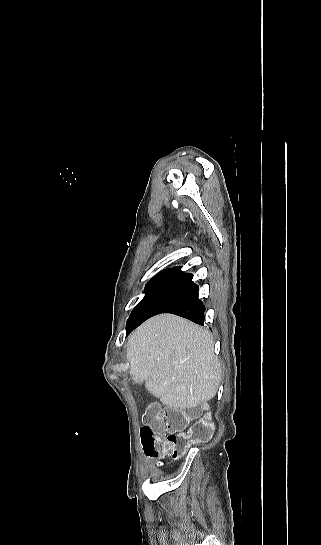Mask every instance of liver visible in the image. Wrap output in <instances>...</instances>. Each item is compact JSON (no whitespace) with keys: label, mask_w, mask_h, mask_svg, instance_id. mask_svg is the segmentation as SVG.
Returning a JSON list of instances; mask_svg holds the SVG:
<instances>
[{"label":"liver","mask_w":321,"mask_h":545,"mask_svg":"<svg viewBox=\"0 0 321 545\" xmlns=\"http://www.w3.org/2000/svg\"><path fill=\"white\" fill-rule=\"evenodd\" d=\"M126 359L134 383L171 409H193L215 397L221 365L211 333L176 315H157L128 339Z\"/></svg>","instance_id":"obj_1"}]
</instances>
